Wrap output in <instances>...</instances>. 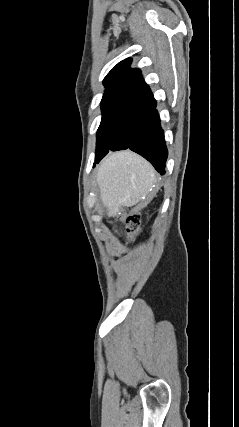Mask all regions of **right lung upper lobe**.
I'll list each match as a JSON object with an SVG mask.
<instances>
[{
	"label": "right lung upper lobe",
	"instance_id": "1",
	"mask_svg": "<svg viewBox=\"0 0 239 427\" xmlns=\"http://www.w3.org/2000/svg\"><path fill=\"white\" fill-rule=\"evenodd\" d=\"M131 58L119 62L104 78L105 93L102 100L153 98L149 86L142 78L139 69L130 68Z\"/></svg>",
	"mask_w": 239,
	"mask_h": 427
}]
</instances>
